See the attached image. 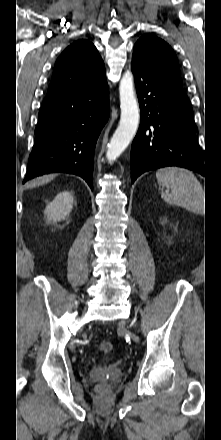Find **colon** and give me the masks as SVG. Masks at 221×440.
Segmentation results:
<instances>
[{
  "instance_id": "5ec220e1",
  "label": "colon",
  "mask_w": 221,
  "mask_h": 440,
  "mask_svg": "<svg viewBox=\"0 0 221 440\" xmlns=\"http://www.w3.org/2000/svg\"><path fill=\"white\" fill-rule=\"evenodd\" d=\"M98 350L102 353H110L112 351V344L108 341H103L101 343H99L98 345ZM98 391L100 392H105L107 390V386L106 385H99L97 387Z\"/></svg>"
}]
</instances>
